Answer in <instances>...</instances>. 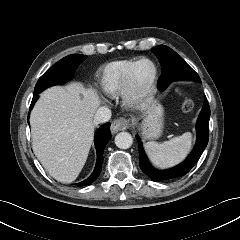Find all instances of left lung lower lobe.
<instances>
[{"label":"left lung lower lobe","instance_id":"obj_1","mask_svg":"<svg viewBox=\"0 0 240 240\" xmlns=\"http://www.w3.org/2000/svg\"><path fill=\"white\" fill-rule=\"evenodd\" d=\"M209 118L210 108L208 101L205 98L202 111L197 120V141L192 153L187 157L184 162L168 170H156L150 165L146 154L144 153L142 143L139 137L136 136L139 144V165L142 171L150 179H152V181L155 182L171 180L186 175L199 160L200 156L202 155L204 149L207 146L209 139Z\"/></svg>","mask_w":240,"mask_h":240}]
</instances>
